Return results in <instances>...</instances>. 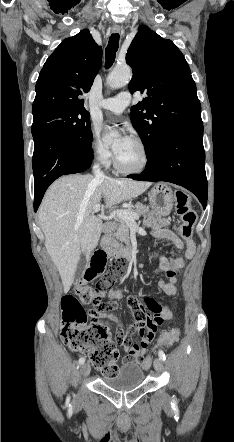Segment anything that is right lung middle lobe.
I'll return each mask as SVG.
<instances>
[{
    "mask_svg": "<svg viewBox=\"0 0 234 442\" xmlns=\"http://www.w3.org/2000/svg\"><path fill=\"white\" fill-rule=\"evenodd\" d=\"M52 133L65 136L90 148L92 132L90 114L85 108L56 109L33 116L32 135Z\"/></svg>",
    "mask_w": 234,
    "mask_h": 442,
    "instance_id": "right-lung-middle-lobe-1",
    "label": "right lung middle lobe"
}]
</instances>
